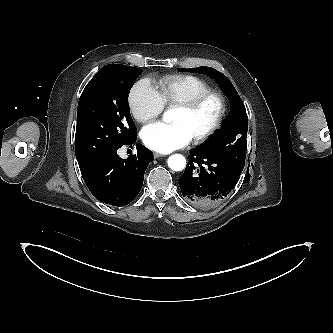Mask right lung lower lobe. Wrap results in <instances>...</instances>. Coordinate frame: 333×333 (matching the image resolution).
I'll return each mask as SVG.
<instances>
[{"instance_id":"98d812e1","label":"right lung lower lobe","mask_w":333,"mask_h":333,"mask_svg":"<svg viewBox=\"0 0 333 333\" xmlns=\"http://www.w3.org/2000/svg\"><path fill=\"white\" fill-rule=\"evenodd\" d=\"M135 141L136 135L125 145H131ZM153 159V153L149 149L137 144V153L130 155L128 159L120 158L115 149L79 167L95 198L121 207L129 204L138 195L145 170Z\"/></svg>"}]
</instances>
